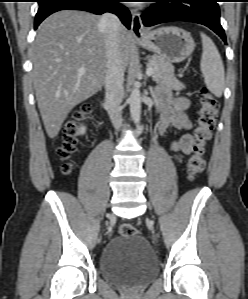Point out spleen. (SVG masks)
I'll list each match as a JSON object with an SVG mask.
<instances>
[{
    "label": "spleen",
    "instance_id": "spleen-1",
    "mask_svg": "<svg viewBox=\"0 0 248 299\" xmlns=\"http://www.w3.org/2000/svg\"><path fill=\"white\" fill-rule=\"evenodd\" d=\"M203 52L201 71L207 88L216 96L221 97L225 88L224 66L221 56L213 41L201 33Z\"/></svg>",
    "mask_w": 248,
    "mask_h": 299
}]
</instances>
